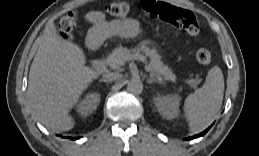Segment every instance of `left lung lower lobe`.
<instances>
[{"mask_svg":"<svg viewBox=\"0 0 259 156\" xmlns=\"http://www.w3.org/2000/svg\"><path fill=\"white\" fill-rule=\"evenodd\" d=\"M212 126V125H211ZM211 126L209 127V128H207L205 131H203L202 133H200V134H197V135H195V136H192V137H189V138H186V140H191V139H194V138H197V137H200V136H203L210 128H211Z\"/></svg>","mask_w":259,"mask_h":156,"instance_id":"1","label":"left lung lower lobe"}]
</instances>
